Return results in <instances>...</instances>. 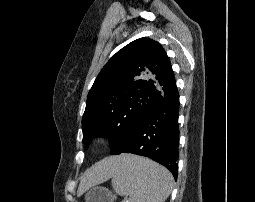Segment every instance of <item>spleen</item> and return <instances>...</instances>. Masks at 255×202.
Segmentation results:
<instances>
[{"label": "spleen", "instance_id": "spleen-1", "mask_svg": "<svg viewBox=\"0 0 255 202\" xmlns=\"http://www.w3.org/2000/svg\"><path fill=\"white\" fill-rule=\"evenodd\" d=\"M112 187L129 202H164L173 189L172 174L150 159L129 155L112 174Z\"/></svg>", "mask_w": 255, "mask_h": 202}]
</instances>
